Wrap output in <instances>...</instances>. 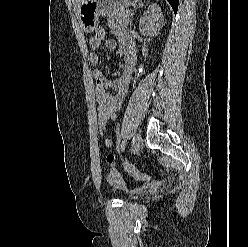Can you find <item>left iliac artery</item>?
I'll return each mask as SVG.
<instances>
[{
	"mask_svg": "<svg viewBox=\"0 0 248 247\" xmlns=\"http://www.w3.org/2000/svg\"><path fill=\"white\" fill-rule=\"evenodd\" d=\"M125 145H126V141H123L122 144H121V149H122V151L124 150Z\"/></svg>",
	"mask_w": 248,
	"mask_h": 247,
	"instance_id": "1",
	"label": "left iliac artery"
}]
</instances>
